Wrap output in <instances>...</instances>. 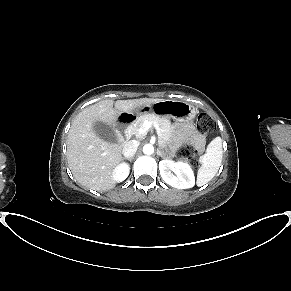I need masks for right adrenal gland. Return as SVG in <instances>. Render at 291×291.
<instances>
[{"instance_id":"obj_1","label":"right adrenal gland","mask_w":291,"mask_h":291,"mask_svg":"<svg viewBox=\"0 0 291 291\" xmlns=\"http://www.w3.org/2000/svg\"><path fill=\"white\" fill-rule=\"evenodd\" d=\"M124 159H127V160L131 161L133 159V157H131V158H124Z\"/></svg>"}]
</instances>
